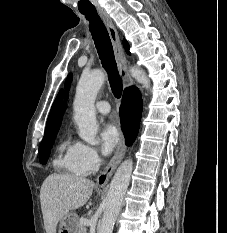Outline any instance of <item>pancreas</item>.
<instances>
[{
  "label": "pancreas",
  "instance_id": "1",
  "mask_svg": "<svg viewBox=\"0 0 227 233\" xmlns=\"http://www.w3.org/2000/svg\"><path fill=\"white\" fill-rule=\"evenodd\" d=\"M77 233H86V227L81 222H79V224H78V232Z\"/></svg>",
  "mask_w": 227,
  "mask_h": 233
}]
</instances>
